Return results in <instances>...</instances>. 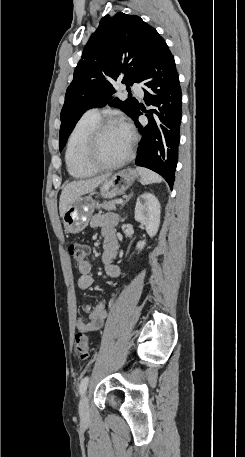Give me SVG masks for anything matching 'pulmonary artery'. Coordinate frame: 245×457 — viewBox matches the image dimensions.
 Masks as SVG:
<instances>
[{"instance_id":"e3ab8cb5","label":"pulmonary artery","mask_w":245,"mask_h":457,"mask_svg":"<svg viewBox=\"0 0 245 457\" xmlns=\"http://www.w3.org/2000/svg\"><path fill=\"white\" fill-rule=\"evenodd\" d=\"M131 90H134L133 95L137 102H144L146 96L141 88L140 81H131L130 83ZM88 115L99 116V110L96 108L90 109L86 112Z\"/></svg>"}]
</instances>
